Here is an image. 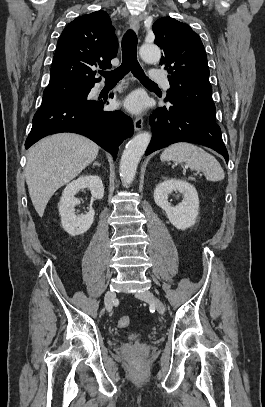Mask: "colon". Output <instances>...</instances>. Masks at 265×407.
I'll return each mask as SVG.
<instances>
[{"instance_id": "colon-1", "label": "colon", "mask_w": 265, "mask_h": 407, "mask_svg": "<svg viewBox=\"0 0 265 407\" xmlns=\"http://www.w3.org/2000/svg\"><path fill=\"white\" fill-rule=\"evenodd\" d=\"M130 324V317L128 315H122L118 318L117 325L121 329H125Z\"/></svg>"}]
</instances>
